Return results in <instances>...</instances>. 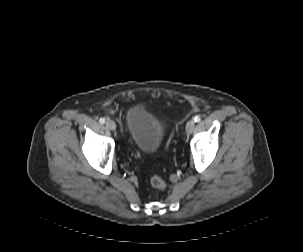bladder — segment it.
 Here are the masks:
<instances>
[{
    "mask_svg": "<svg viewBox=\"0 0 303 252\" xmlns=\"http://www.w3.org/2000/svg\"><path fill=\"white\" fill-rule=\"evenodd\" d=\"M129 138L141 153L150 156L160 146L164 127L150 112L142 108H131L126 116Z\"/></svg>",
    "mask_w": 303,
    "mask_h": 252,
    "instance_id": "31cf9c89",
    "label": "bladder"
}]
</instances>
